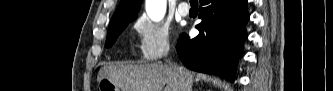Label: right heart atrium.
<instances>
[{"instance_id":"right-heart-atrium-1","label":"right heart atrium","mask_w":333,"mask_h":91,"mask_svg":"<svg viewBox=\"0 0 333 91\" xmlns=\"http://www.w3.org/2000/svg\"><path fill=\"white\" fill-rule=\"evenodd\" d=\"M133 28L139 39L141 56L146 61H157L169 54L172 35L167 25L142 16L134 22Z\"/></svg>"}]
</instances>
